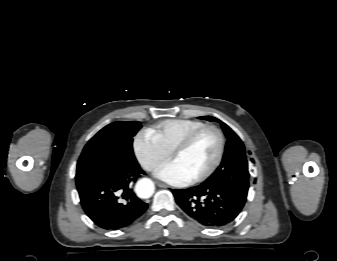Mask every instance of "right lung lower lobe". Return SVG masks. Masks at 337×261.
I'll return each mask as SVG.
<instances>
[{"instance_id": "1", "label": "right lung lower lobe", "mask_w": 337, "mask_h": 261, "mask_svg": "<svg viewBox=\"0 0 337 261\" xmlns=\"http://www.w3.org/2000/svg\"><path fill=\"white\" fill-rule=\"evenodd\" d=\"M145 172L137 165H108L76 180L80 203L99 227L118 230L136 221L147 209L133 191Z\"/></svg>"}]
</instances>
